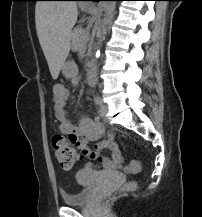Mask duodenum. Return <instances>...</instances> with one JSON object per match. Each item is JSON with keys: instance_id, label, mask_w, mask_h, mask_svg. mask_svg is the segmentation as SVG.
Here are the masks:
<instances>
[{"instance_id": "obj_1", "label": "duodenum", "mask_w": 202, "mask_h": 217, "mask_svg": "<svg viewBox=\"0 0 202 217\" xmlns=\"http://www.w3.org/2000/svg\"><path fill=\"white\" fill-rule=\"evenodd\" d=\"M88 81L91 85H94L96 83V73L93 69H91L89 72Z\"/></svg>"}]
</instances>
